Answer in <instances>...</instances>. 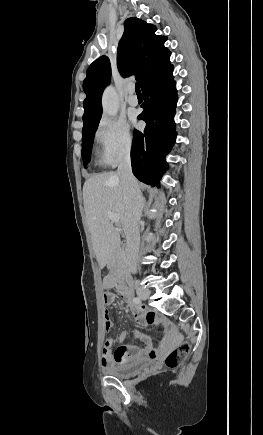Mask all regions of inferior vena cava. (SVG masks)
Masks as SVG:
<instances>
[{
  "label": "inferior vena cava",
  "instance_id": "obj_1",
  "mask_svg": "<svg viewBox=\"0 0 263 435\" xmlns=\"http://www.w3.org/2000/svg\"><path fill=\"white\" fill-rule=\"evenodd\" d=\"M118 175L124 188L128 225L125 229L126 235V266L130 272H136V259L139 252L140 244V220L144 201L139 189V185L132 174L130 152H126L121 158L118 170Z\"/></svg>",
  "mask_w": 263,
  "mask_h": 435
}]
</instances>
